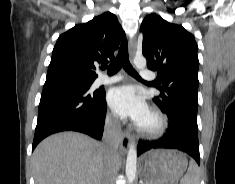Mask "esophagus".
Returning a JSON list of instances; mask_svg holds the SVG:
<instances>
[{
    "label": "esophagus",
    "instance_id": "esophagus-1",
    "mask_svg": "<svg viewBox=\"0 0 235 184\" xmlns=\"http://www.w3.org/2000/svg\"><path fill=\"white\" fill-rule=\"evenodd\" d=\"M136 45H137V39L136 37H134L132 39V42L130 44V49H129V59L132 64H133V59H134L135 52H136ZM132 141H133V137L131 134H128L126 132L122 133L121 140H120V151L123 154H125L128 151L129 146Z\"/></svg>",
    "mask_w": 235,
    "mask_h": 184
}]
</instances>
